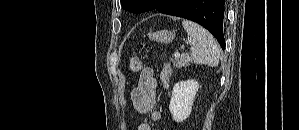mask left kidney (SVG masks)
Segmentation results:
<instances>
[{
  "label": "left kidney",
  "mask_w": 299,
  "mask_h": 130,
  "mask_svg": "<svg viewBox=\"0 0 299 130\" xmlns=\"http://www.w3.org/2000/svg\"><path fill=\"white\" fill-rule=\"evenodd\" d=\"M198 89L199 84L195 80L181 81L174 85L169 104L173 120L183 122L189 117Z\"/></svg>",
  "instance_id": "1"
}]
</instances>
